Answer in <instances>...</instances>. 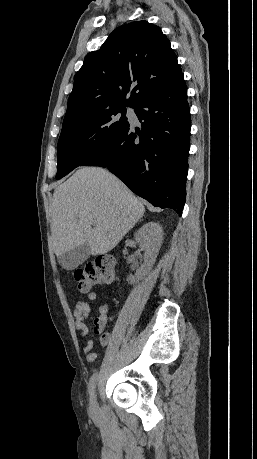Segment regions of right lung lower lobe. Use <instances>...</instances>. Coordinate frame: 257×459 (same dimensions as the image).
I'll return each instance as SVG.
<instances>
[{
  "label": "right lung lower lobe",
  "mask_w": 257,
  "mask_h": 459,
  "mask_svg": "<svg viewBox=\"0 0 257 459\" xmlns=\"http://www.w3.org/2000/svg\"><path fill=\"white\" fill-rule=\"evenodd\" d=\"M135 108L141 129L129 125L112 145L80 166L107 167L137 195L181 216L191 128L183 74Z\"/></svg>",
  "instance_id": "right-lung-lower-lobe-1"
}]
</instances>
